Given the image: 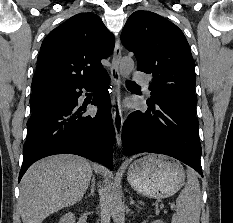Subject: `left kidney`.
I'll list each match as a JSON object with an SVG mask.
<instances>
[{
  "mask_svg": "<svg viewBox=\"0 0 233 223\" xmlns=\"http://www.w3.org/2000/svg\"><path fill=\"white\" fill-rule=\"evenodd\" d=\"M152 223H164V221H162V219H155V221H152Z\"/></svg>",
  "mask_w": 233,
  "mask_h": 223,
  "instance_id": "5707ae66",
  "label": "left kidney"
}]
</instances>
